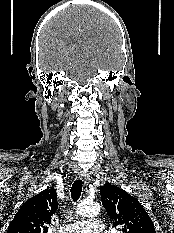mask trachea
Wrapping results in <instances>:
<instances>
[{
  "instance_id": "obj_1",
  "label": "trachea",
  "mask_w": 174,
  "mask_h": 233,
  "mask_svg": "<svg viewBox=\"0 0 174 233\" xmlns=\"http://www.w3.org/2000/svg\"><path fill=\"white\" fill-rule=\"evenodd\" d=\"M82 186H83L82 180H76L72 184L71 197L73 201H77L80 198L82 192Z\"/></svg>"
}]
</instances>
